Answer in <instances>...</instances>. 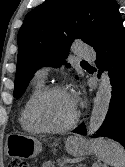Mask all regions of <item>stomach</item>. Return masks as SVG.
Masks as SVG:
<instances>
[{
  "label": "stomach",
  "instance_id": "0dacf381",
  "mask_svg": "<svg viewBox=\"0 0 125 167\" xmlns=\"http://www.w3.org/2000/svg\"><path fill=\"white\" fill-rule=\"evenodd\" d=\"M66 150L73 156L83 155L91 151L85 141L80 137H70L66 141ZM42 151V144L35 137L15 133L11 134L6 141L5 152L8 156L18 158H33Z\"/></svg>",
  "mask_w": 125,
  "mask_h": 167
}]
</instances>
